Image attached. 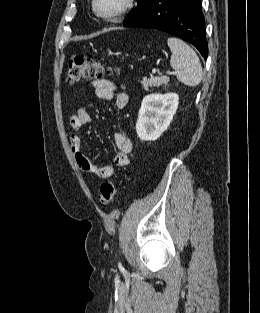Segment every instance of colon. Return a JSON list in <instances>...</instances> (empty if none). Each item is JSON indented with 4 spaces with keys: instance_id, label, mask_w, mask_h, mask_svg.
<instances>
[{
    "instance_id": "colon-1",
    "label": "colon",
    "mask_w": 260,
    "mask_h": 313,
    "mask_svg": "<svg viewBox=\"0 0 260 313\" xmlns=\"http://www.w3.org/2000/svg\"><path fill=\"white\" fill-rule=\"evenodd\" d=\"M114 70H107L113 72ZM106 70L97 59L83 56H73L69 60L66 81L68 84H77L85 79L101 78ZM116 187L112 181L101 185L99 191V200L103 205H109L115 195Z\"/></svg>"
}]
</instances>
